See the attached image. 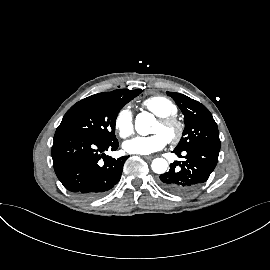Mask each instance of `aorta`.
<instances>
[{
    "mask_svg": "<svg viewBox=\"0 0 270 270\" xmlns=\"http://www.w3.org/2000/svg\"><path fill=\"white\" fill-rule=\"evenodd\" d=\"M155 123V118L152 114L144 112L136 116L135 129L137 133L146 136L151 133V127ZM151 168L157 174H163L168 168V163L163 158H156L152 161Z\"/></svg>",
    "mask_w": 270,
    "mask_h": 270,
    "instance_id": "762f6f07",
    "label": "aorta"
}]
</instances>
